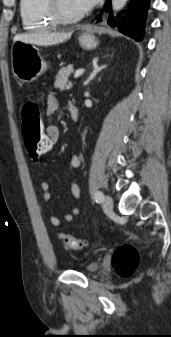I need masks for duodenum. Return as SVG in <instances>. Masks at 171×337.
Here are the masks:
<instances>
[{
  "instance_id": "duodenum-1",
  "label": "duodenum",
  "mask_w": 171,
  "mask_h": 337,
  "mask_svg": "<svg viewBox=\"0 0 171 337\" xmlns=\"http://www.w3.org/2000/svg\"><path fill=\"white\" fill-rule=\"evenodd\" d=\"M68 107L72 120L75 122L78 121L79 118L78 106L75 103H70Z\"/></svg>"
}]
</instances>
